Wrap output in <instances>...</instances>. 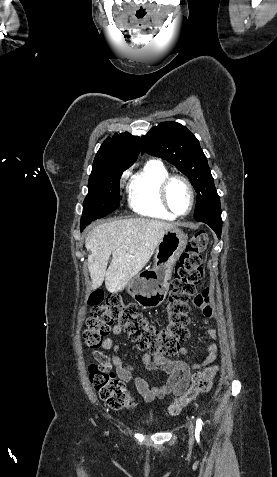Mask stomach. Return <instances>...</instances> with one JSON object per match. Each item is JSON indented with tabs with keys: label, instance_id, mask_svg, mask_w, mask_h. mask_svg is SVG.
Instances as JSON below:
<instances>
[{
	"label": "stomach",
	"instance_id": "obj_1",
	"mask_svg": "<svg viewBox=\"0 0 277 477\" xmlns=\"http://www.w3.org/2000/svg\"><path fill=\"white\" fill-rule=\"evenodd\" d=\"M188 237L177 227L168 230L156 247L154 265L134 276L127 292L143 308H154L165 300L171 272L187 245Z\"/></svg>",
	"mask_w": 277,
	"mask_h": 477
}]
</instances>
